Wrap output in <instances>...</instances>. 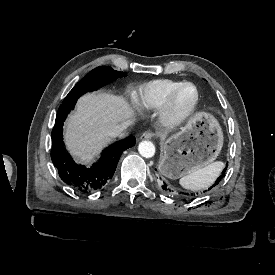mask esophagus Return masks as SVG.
<instances>
[{
  "label": "esophagus",
  "mask_w": 275,
  "mask_h": 275,
  "mask_svg": "<svg viewBox=\"0 0 275 275\" xmlns=\"http://www.w3.org/2000/svg\"><path fill=\"white\" fill-rule=\"evenodd\" d=\"M153 136H154V133H152V132H144V133L141 135V139H142V140L151 139Z\"/></svg>",
  "instance_id": "obj_1"
}]
</instances>
